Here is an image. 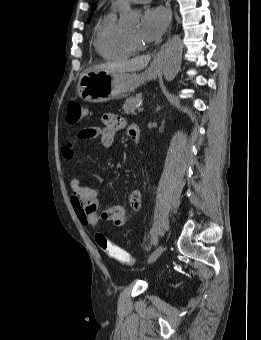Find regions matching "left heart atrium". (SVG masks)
<instances>
[{
    "mask_svg": "<svg viewBox=\"0 0 261 340\" xmlns=\"http://www.w3.org/2000/svg\"><path fill=\"white\" fill-rule=\"evenodd\" d=\"M169 12L162 6L150 7L142 15L141 39L145 43H155L165 32L169 24Z\"/></svg>",
    "mask_w": 261,
    "mask_h": 340,
    "instance_id": "1",
    "label": "left heart atrium"
}]
</instances>
